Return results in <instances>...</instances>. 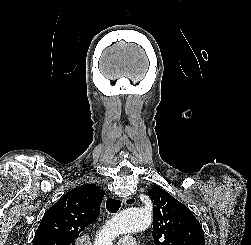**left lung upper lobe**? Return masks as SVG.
<instances>
[{
    "mask_svg": "<svg viewBox=\"0 0 251 245\" xmlns=\"http://www.w3.org/2000/svg\"><path fill=\"white\" fill-rule=\"evenodd\" d=\"M153 207L155 245H205L199 221L191 211L160 187L149 191Z\"/></svg>",
    "mask_w": 251,
    "mask_h": 245,
    "instance_id": "5c2ea615",
    "label": "left lung upper lobe"
}]
</instances>
